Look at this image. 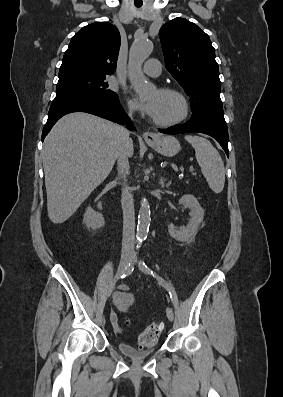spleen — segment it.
<instances>
[{
    "mask_svg": "<svg viewBox=\"0 0 283 397\" xmlns=\"http://www.w3.org/2000/svg\"><path fill=\"white\" fill-rule=\"evenodd\" d=\"M195 149V156L202 174L215 193H220L225 183V168L222 158L216 148L205 138L200 136H185Z\"/></svg>",
    "mask_w": 283,
    "mask_h": 397,
    "instance_id": "obj_1",
    "label": "spleen"
}]
</instances>
